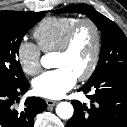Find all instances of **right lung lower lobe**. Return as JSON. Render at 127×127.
<instances>
[{"mask_svg": "<svg viewBox=\"0 0 127 127\" xmlns=\"http://www.w3.org/2000/svg\"><path fill=\"white\" fill-rule=\"evenodd\" d=\"M28 88V81L17 86L0 84V127H33L34 117L46 109V102L37 97H28L23 110L15 108L19 95L26 93Z\"/></svg>", "mask_w": 127, "mask_h": 127, "instance_id": "98d812e1", "label": "right lung lower lobe"}]
</instances>
